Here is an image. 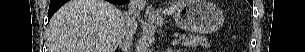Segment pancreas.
<instances>
[{
	"instance_id": "pancreas-1",
	"label": "pancreas",
	"mask_w": 305,
	"mask_h": 52,
	"mask_svg": "<svg viewBox=\"0 0 305 52\" xmlns=\"http://www.w3.org/2000/svg\"><path fill=\"white\" fill-rule=\"evenodd\" d=\"M181 45L185 47H197L198 45H207V40L200 35H181L179 38Z\"/></svg>"
}]
</instances>
